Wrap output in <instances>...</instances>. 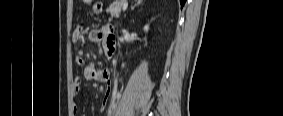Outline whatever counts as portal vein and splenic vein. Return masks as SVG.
<instances>
[{"mask_svg":"<svg viewBox=\"0 0 283 116\" xmlns=\"http://www.w3.org/2000/svg\"><path fill=\"white\" fill-rule=\"evenodd\" d=\"M127 7H128V4H123V11H126V9H127Z\"/></svg>","mask_w":283,"mask_h":116,"instance_id":"1","label":"portal vein and splenic vein"}]
</instances>
